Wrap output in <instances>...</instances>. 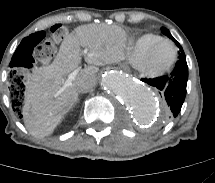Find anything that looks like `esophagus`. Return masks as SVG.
<instances>
[{
	"label": "esophagus",
	"mask_w": 215,
	"mask_h": 183,
	"mask_svg": "<svg viewBox=\"0 0 215 183\" xmlns=\"http://www.w3.org/2000/svg\"><path fill=\"white\" fill-rule=\"evenodd\" d=\"M122 66H123V67H126V65H125V64H122Z\"/></svg>",
	"instance_id": "1"
}]
</instances>
